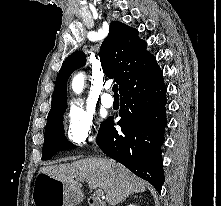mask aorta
Returning <instances> with one entry per match:
<instances>
[{
	"label": "aorta",
	"mask_w": 221,
	"mask_h": 206,
	"mask_svg": "<svg viewBox=\"0 0 221 206\" xmlns=\"http://www.w3.org/2000/svg\"><path fill=\"white\" fill-rule=\"evenodd\" d=\"M83 87H84V75L82 73H79L73 78L72 89L76 94H79L82 92Z\"/></svg>",
	"instance_id": "762f6f07"
}]
</instances>
